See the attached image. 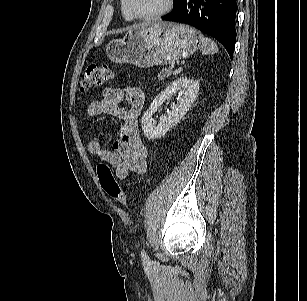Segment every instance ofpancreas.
<instances>
[{
    "label": "pancreas",
    "mask_w": 307,
    "mask_h": 301,
    "mask_svg": "<svg viewBox=\"0 0 307 301\" xmlns=\"http://www.w3.org/2000/svg\"><path fill=\"white\" fill-rule=\"evenodd\" d=\"M172 69L171 68H169V69H163L159 74H158V79L159 80H162V79H164V78H167V77H169V76H171L172 75Z\"/></svg>",
    "instance_id": "1"
}]
</instances>
